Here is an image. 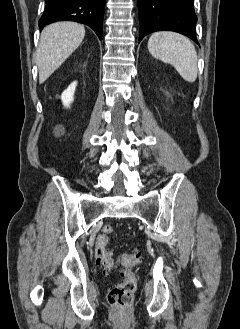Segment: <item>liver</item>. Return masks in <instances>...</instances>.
Returning <instances> with one entry per match:
<instances>
[{"instance_id":"liver-1","label":"liver","mask_w":240,"mask_h":329,"mask_svg":"<svg viewBox=\"0 0 240 329\" xmlns=\"http://www.w3.org/2000/svg\"><path fill=\"white\" fill-rule=\"evenodd\" d=\"M84 36V26L74 22H57L43 29L36 53L40 84L79 47Z\"/></svg>"}]
</instances>
